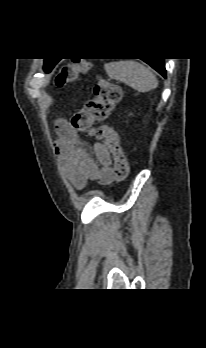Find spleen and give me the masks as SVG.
I'll use <instances>...</instances> for the list:
<instances>
[{
  "label": "spleen",
  "mask_w": 206,
  "mask_h": 348,
  "mask_svg": "<svg viewBox=\"0 0 206 348\" xmlns=\"http://www.w3.org/2000/svg\"><path fill=\"white\" fill-rule=\"evenodd\" d=\"M107 75L111 79L123 82L140 93H146L158 86L153 72L136 61H117L105 65Z\"/></svg>",
  "instance_id": "spleen-1"
}]
</instances>
